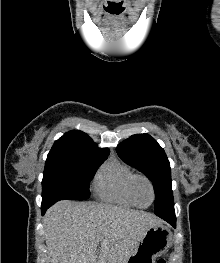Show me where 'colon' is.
Returning a JSON list of instances; mask_svg holds the SVG:
<instances>
[{
	"instance_id": "obj_1",
	"label": "colon",
	"mask_w": 220,
	"mask_h": 263,
	"mask_svg": "<svg viewBox=\"0 0 220 263\" xmlns=\"http://www.w3.org/2000/svg\"><path fill=\"white\" fill-rule=\"evenodd\" d=\"M156 263H166L165 259H159Z\"/></svg>"
}]
</instances>
